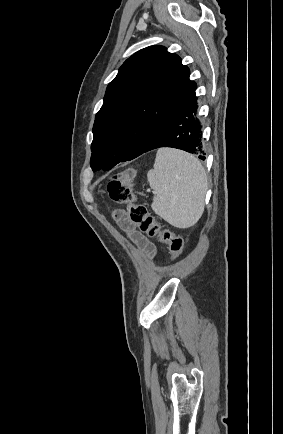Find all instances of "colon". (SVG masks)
Wrapping results in <instances>:
<instances>
[{
	"label": "colon",
	"instance_id": "colon-1",
	"mask_svg": "<svg viewBox=\"0 0 283 434\" xmlns=\"http://www.w3.org/2000/svg\"><path fill=\"white\" fill-rule=\"evenodd\" d=\"M134 176L135 170L133 168H127L114 175L107 185L110 198L116 203L126 204L129 220L141 232L150 237H158L162 243L168 246L170 259H177L183 252V239L171 230L161 229L156 220L148 213L146 207L136 202L132 189Z\"/></svg>",
	"mask_w": 283,
	"mask_h": 434
}]
</instances>
